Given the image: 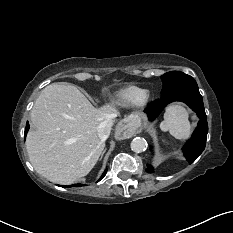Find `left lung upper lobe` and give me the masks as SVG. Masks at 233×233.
<instances>
[{"label": "left lung upper lobe", "mask_w": 233, "mask_h": 233, "mask_svg": "<svg viewBox=\"0 0 233 233\" xmlns=\"http://www.w3.org/2000/svg\"><path fill=\"white\" fill-rule=\"evenodd\" d=\"M161 79L163 82L162 96L182 86L197 85L193 77L180 71L168 72L162 75Z\"/></svg>", "instance_id": "1"}]
</instances>
